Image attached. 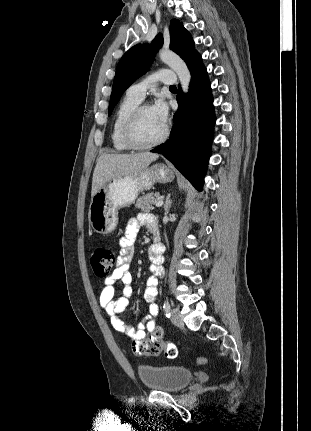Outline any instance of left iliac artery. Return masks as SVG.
Returning a JSON list of instances; mask_svg holds the SVG:
<instances>
[{"label":"left iliac artery","mask_w":311,"mask_h":431,"mask_svg":"<svg viewBox=\"0 0 311 431\" xmlns=\"http://www.w3.org/2000/svg\"><path fill=\"white\" fill-rule=\"evenodd\" d=\"M163 309H164V312H165V316L167 318H169L171 316V312H170V303L168 302V300H166L164 302Z\"/></svg>","instance_id":"44dca946"}]
</instances>
